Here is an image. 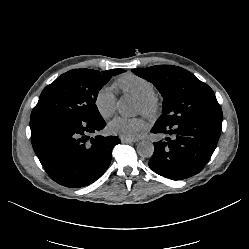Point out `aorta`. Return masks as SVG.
Segmentation results:
<instances>
[{
    "mask_svg": "<svg viewBox=\"0 0 249 249\" xmlns=\"http://www.w3.org/2000/svg\"><path fill=\"white\" fill-rule=\"evenodd\" d=\"M117 109L123 116H129L134 113L132 103L126 99L121 98L117 102ZM137 153L143 158H150L154 153V145L150 141H141L137 145Z\"/></svg>",
    "mask_w": 249,
    "mask_h": 249,
    "instance_id": "aorta-1",
    "label": "aorta"
}]
</instances>
